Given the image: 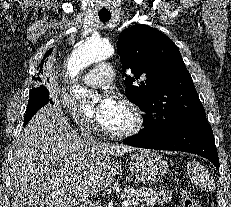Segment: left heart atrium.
<instances>
[{"instance_id":"1","label":"left heart atrium","mask_w":231,"mask_h":207,"mask_svg":"<svg viewBox=\"0 0 231 207\" xmlns=\"http://www.w3.org/2000/svg\"><path fill=\"white\" fill-rule=\"evenodd\" d=\"M120 105L121 103L114 95L103 96L97 105V120L103 125L107 124L116 114Z\"/></svg>"}]
</instances>
